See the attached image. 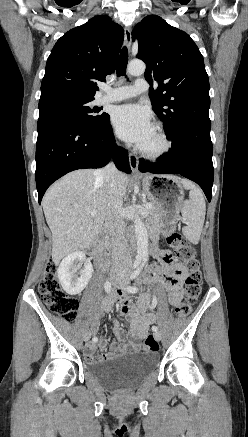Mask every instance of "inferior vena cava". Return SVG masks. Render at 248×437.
I'll use <instances>...</instances> for the list:
<instances>
[{
	"mask_svg": "<svg viewBox=\"0 0 248 437\" xmlns=\"http://www.w3.org/2000/svg\"><path fill=\"white\" fill-rule=\"evenodd\" d=\"M98 177H102L104 180L109 201V212L105 219V225L108 227L111 237L112 265L113 267L129 268L132 262L128 256L125 223L121 215L123 202L119 186V172L111 162L98 170Z\"/></svg>",
	"mask_w": 248,
	"mask_h": 437,
	"instance_id": "inferior-vena-cava-1",
	"label": "inferior vena cava"
}]
</instances>
